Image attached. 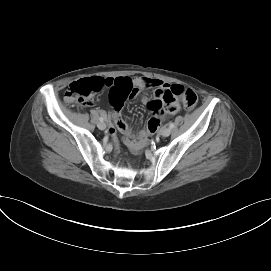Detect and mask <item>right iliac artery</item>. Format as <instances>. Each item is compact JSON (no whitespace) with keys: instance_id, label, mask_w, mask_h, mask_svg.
<instances>
[{"instance_id":"right-iliac-artery-1","label":"right iliac artery","mask_w":271,"mask_h":271,"mask_svg":"<svg viewBox=\"0 0 271 271\" xmlns=\"http://www.w3.org/2000/svg\"><path fill=\"white\" fill-rule=\"evenodd\" d=\"M101 122H103L104 121V118L103 117H100V119H99Z\"/></svg>"}]
</instances>
